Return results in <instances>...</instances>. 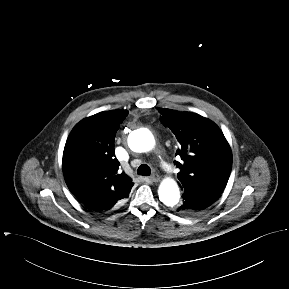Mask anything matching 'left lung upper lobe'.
<instances>
[{"mask_svg":"<svg viewBox=\"0 0 289 289\" xmlns=\"http://www.w3.org/2000/svg\"><path fill=\"white\" fill-rule=\"evenodd\" d=\"M161 122L176 136L182 163L174 161L184 193L201 194L217 200L232 168V153L222 131L211 120L192 112L157 108Z\"/></svg>","mask_w":289,"mask_h":289,"instance_id":"1","label":"left lung upper lobe"}]
</instances>
